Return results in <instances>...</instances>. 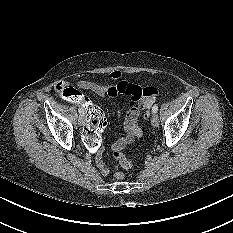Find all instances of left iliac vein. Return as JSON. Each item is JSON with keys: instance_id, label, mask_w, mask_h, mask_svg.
<instances>
[{"instance_id": "left-iliac-vein-1", "label": "left iliac vein", "mask_w": 233, "mask_h": 233, "mask_svg": "<svg viewBox=\"0 0 233 233\" xmlns=\"http://www.w3.org/2000/svg\"><path fill=\"white\" fill-rule=\"evenodd\" d=\"M151 123H152V125L154 127H158V125H159V118H158V115L156 113L152 114Z\"/></svg>"}]
</instances>
